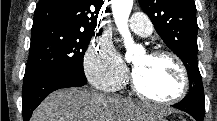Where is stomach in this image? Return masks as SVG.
<instances>
[{
	"mask_svg": "<svg viewBox=\"0 0 217 121\" xmlns=\"http://www.w3.org/2000/svg\"><path fill=\"white\" fill-rule=\"evenodd\" d=\"M154 121H164V119L157 117V118L154 119Z\"/></svg>",
	"mask_w": 217,
	"mask_h": 121,
	"instance_id": "stomach-1",
	"label": "stomach"
}]
</instances>
